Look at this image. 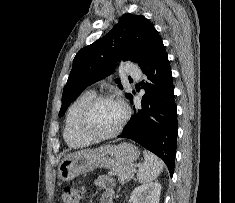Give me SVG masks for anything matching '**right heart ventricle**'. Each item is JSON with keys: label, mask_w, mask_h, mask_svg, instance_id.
Masks as SVG:
<instances>
[{"label": "right heart ventricle", "mask_w": 235, "mask_h": 203, "mask_svg": "<svg viewBox=\"0 0 235 203\" xmlns=\"http://www.w3.org/2000/svg\"><path fill=\"white\" fill-rule=\"evenodd\" d=\"M96 94L93 90L81 93L69 106L65 119L63 137L66 143L73 148L88 145L92 141L82 136L77 130L78 116L83 106Z\"/></svg>", "instance_id": "right-heart-ventricle-1"}]
</instances>
